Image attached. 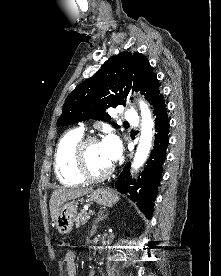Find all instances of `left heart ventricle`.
<instances>
[{"mask_svg": "<svg viewBox=\"0 0 221 276\" xmlns=\"http://www.w3.org/2000/svg\"><path fill=\"white\" fill-rule=\"evenodd\" d=\"M86 154L89 168L95 174L102 173L111 166V162L104 155L99 142L91 143L87 147Z\"/></svg>", "mask_w": 221, "mask_h": 276, "instance_id": "b2bd125f", "label": "left heart ventricle"}]
</instances>
